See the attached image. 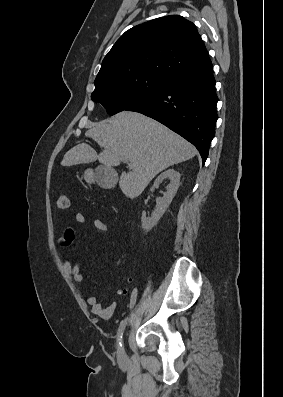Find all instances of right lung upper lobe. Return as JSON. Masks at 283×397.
I'll return each mask as SVG.
<instances>
[{
  "instance_id": "1",
  "label": "right lung upper lobe",
  "mask_w": 283,
  "mask_h": 397,
  "mask_svg": "<svg viewBox=\"0 0 283 397\" xmlns=\"http://www.w3.org/2000/svg\"><path fill=\"white\" fill-rule=\"evenodd\" d=\"M210 62L195 25L182 16L170 15L126 31L103 59L95 82L136 75L166 81Z\"/></svg>"
}]
</instances>
